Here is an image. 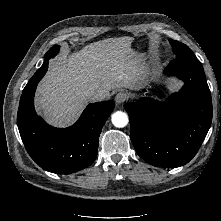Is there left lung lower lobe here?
Instances as JSON below:
<instances>
[{
    "mask_svg": "<svg viewBox=\"0 0 221 221\" xmlns=\"http://www.w3.org/2000/svg\"><path fill=\"white\" fill-rule=\"evenodd\" d=\"M184 81L165 105L147 99L125 104L137 154L157 167H179L199 150L212 121V101L200 61L176 58L164 71Z\"/></svg>",
    "mask_w": 221,
    "mask_h": 221,
    "instance_id": "1",
    "label": "left lung lower lobe"
}]
</instances>
